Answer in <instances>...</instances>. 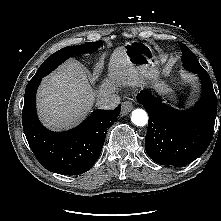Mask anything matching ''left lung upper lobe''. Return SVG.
<instances>
[{
  "label": "left lung upper lobe",
  "mask_w": 221,
  "mask_h": 221,
  "mask_svg": "<svg viewBox=\"0 0 221 221\" xmlns=\"http://www.w3.org/2000/svg\"><path fill=\"white\" fill-rule=\"evenodd\" d=\"M182 50V62L183 66L191 72H201L203 67L199 64L194 54L184 44L178 42Z\"/></svg>",
  "instance_id": "5c2ea615"
}]
</instances>
